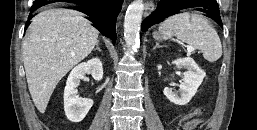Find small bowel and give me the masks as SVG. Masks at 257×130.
I'll use <instances>...</instances> for the list:
<instances>
[{
	"label": "small bowel",
	"instance_id": "c3829d8e",
	"mask_svg": "<svg viewBox=\"0 0 257 130\" xmlns=\"http://www.w3.org/2000/svg\"><path fill=\"white\" fill-rule=\"evenodd\" d=\"M196 124H197L196 121L189 122V123L187 124L186 128L190 130V129L193 128Z\"/></svg>",
	"mask_w": 257,
	"mask_h": 130
}]
</instances>
